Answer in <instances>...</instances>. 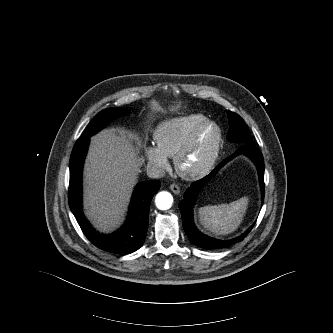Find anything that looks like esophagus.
<instances>
[{
	"instance_id": "1",
	"label": "esophagus",
	"mask_w": 333,
	"mask_h": 333,
	"mask_svg": "<svg viewBox=\"0 0 333 333\" xmlns=\"http://www.w3.org/2000/svg\"><path fill=\"white\" fill-rule=\"evenodd\" d=\"M170 189L174 194L180 193V187L177 184H171Z\"/></svg>"
}]
</instances>
